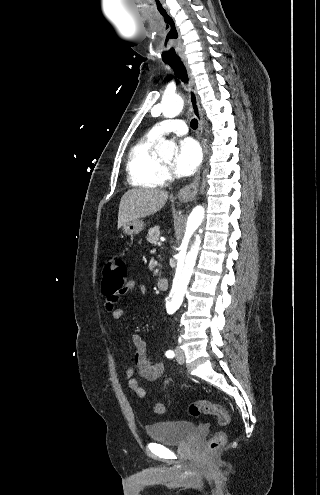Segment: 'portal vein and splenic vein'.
I'll list each match as a JSON object with an SVG mask.
<instances>
[{
    "mask_svg": "<svg viewBox=\"0 0 320 495\" xmlns=\"http://www.w3.org/2000/svg\"><path fill=\"white\" fill-rule=\"evenodd\" d=\"M158 245H161V243H160V242H158Z\"/></svg>",
    "mask_w": 320,
    "mask_h": 495,
    "instance_id": "18ae733b",
    "label": "portal vein and splenic vein"
}]
</instances>
